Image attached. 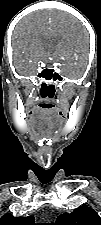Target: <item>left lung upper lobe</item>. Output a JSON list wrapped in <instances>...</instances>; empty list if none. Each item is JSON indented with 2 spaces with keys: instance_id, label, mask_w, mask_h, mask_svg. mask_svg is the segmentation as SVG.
I'll return each instance as SVG.
<instances>
[{
  "instance_id": "obj_1",
  "label": "left lung upper lobe",
  "mask_w": 101,
  "mask_h": 225,
  "mask_svg": "<svg viewBox=\"0 0 101 225\" xmlns=\"http://www.w3.org/2000/svg\"><path fill=\"white\" fill-rule=\"evenodd\" d=\"M54 225H101V218L91 207L80 206L70 214L58 216Z\"/></svg>"
}]
</instances>
